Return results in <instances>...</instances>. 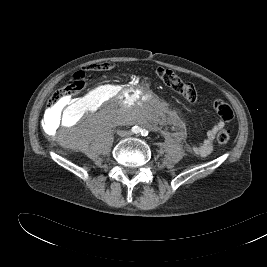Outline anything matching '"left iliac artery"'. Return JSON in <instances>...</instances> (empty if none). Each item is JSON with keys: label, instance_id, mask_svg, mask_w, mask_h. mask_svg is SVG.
I'll return each mask as SVG.
<instances>
[{"label": "left iliac artery", "instance_id": "left-iliac-artery-1", "mask_svg": "<svg viewBox=\"0 0 267 267\" xmlns=\"http://www.w3.org/2000/svg\"><path fill=\"white\" fill-rule=\"evenodd\" d=\"M141 135H142V136H147V135H148V131H147L146 129H143V130L141 131Z\"/></svg>", "mask_w": 267, "mask_h": 267}]
</instances>
